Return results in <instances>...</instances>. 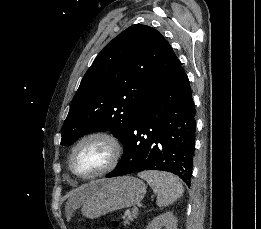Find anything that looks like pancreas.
Masks as SVG:
<instances>
[{"label": "pancreas", "instance_id": "1", "mask_svg": "<svg viewBox=\"0 0 261 229\" xmlns=\"http://www.w3.org/2000/svg\"><path fill=\"white\" fill-rule=\"evenodd\" d=\"M139 213L135 212L134 209L132 211V213H125L124 217H122V219H124L123 221V225L124 227H126V225H130L131 221H134V219H137Z\"/></svg>", "mask_w": 261, "mask_h": 229}]
</instances>
